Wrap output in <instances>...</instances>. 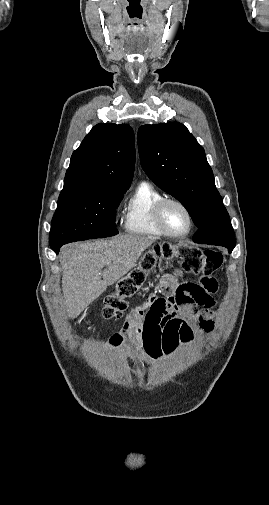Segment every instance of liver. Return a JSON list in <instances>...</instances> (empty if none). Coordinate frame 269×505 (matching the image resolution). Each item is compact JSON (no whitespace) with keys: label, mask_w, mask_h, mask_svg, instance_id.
I'll use <instances>...</instances> for the list:
<instances>
[{"label":"liver","mask_w":269,"mask_h":505,"mask_svg":"<svg viewBox=\"0 0 269 505\" xmlns=\"http://www.w3.org/2000/svg\"><path fill=\"white\" fill-rule=\"evenodd\" d=\"M154 242L150 236L122 235L111 240L66 245L61 250L60 263L63 304L68 317L77 318L107 286L134 268L141 254Z\"/></svg>","instance_id":"1"}]
</instances>
